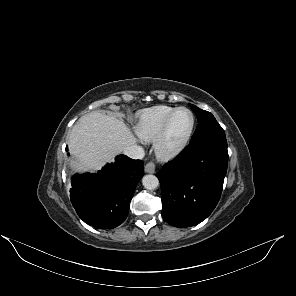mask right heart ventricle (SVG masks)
<instances>
[{"label": "right heart ventricle", "mask_w": 296, "mask_h": 296, "mask_svg": "<svg viewBox=\"0 0 296 296\" xmlns=\"http://www.w3.org/2000/svg\"><path fill=\"white\" fill-rule=\"evenodd\" d=\"M176 108L170 106H156L138 113L135 132L145 142L154 141L164 122Z\"/></svg>", "instance_id": "1"}]
</instances>
